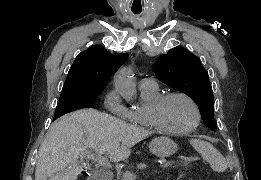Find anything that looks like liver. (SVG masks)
<instances>
[{
	"mask_svg": "<svg viewBox=\"0 0 261 180\" xmlns=\"http://www.w3.org/2000/svg\"><path fill=\"white\" fill-rule=\"evenodd\" d=\"M153 132L98 110H77L52 124L40 146L35 180H77L87 152L109 154L111 162L131 156V148Z\"/></svg>",
	"mask_w": 261,
	"mask_h": 180,
	"instance_id": "obj_1",
	"label": "liver"
}]
</instances>
